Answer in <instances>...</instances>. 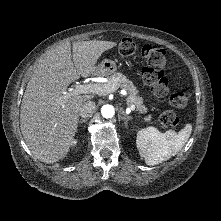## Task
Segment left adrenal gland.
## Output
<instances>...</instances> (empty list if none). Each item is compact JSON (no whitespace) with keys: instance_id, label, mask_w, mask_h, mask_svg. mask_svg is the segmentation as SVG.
<instances>
[{"instance_id":"left-adrenal-gland-1","label":"left adrenal gland","mask_w":221,"mask_h":221,"mask_svg":"<svg viewBox=\"0 0 221 221\" xmlns=\"http://www.w3.org/2000/svg\"><path fill=\"white\" fill-rule=\"evenodd\" d=\"M120 114H121L122 120H123L124 123H125V126L127 127V123H128L129 120L132 119V117L129 116V115H127L122 108H120Z\"/></svg>"}]
</instances>
